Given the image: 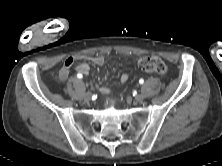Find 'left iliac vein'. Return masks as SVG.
<instances>
[{
    "instance_id": "left-iliac-vein-1",
    "label": "left iliac vein",
    "mask_w": 222,
    "mask_h": 166,
    "mask_svg": "<svg viewBox=\"0 0 222 166\" xmlns=\"http://www.w3.org/2000/svg\"><path fill=\"white\" fill-rule=\"evenodd\" d=\"M134 99H135L136 102L140 103V102H142L144 100V96L141 95V94H138V95L135 96Z\"/></svg>"
}]
</instances>
